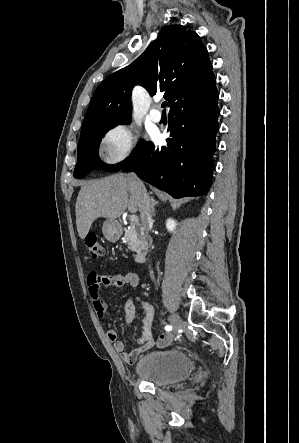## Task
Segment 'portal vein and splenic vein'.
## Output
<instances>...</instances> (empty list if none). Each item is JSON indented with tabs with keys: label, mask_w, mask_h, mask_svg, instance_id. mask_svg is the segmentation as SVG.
I'll list each match as a JSON object with an SVG mask.
<instances>
[{
	"label": "portal vein and splenic vein",
	"mask_w": 299,
	"mask_h": 443,
	"mask_svg": "<svg viewBox=\"0 0 299 443\" xmlns=\"http://www.w3.org/2000/svg\"><path fill=\"white\" fill-rule=\"evenodd\" d=\"M130 222L131 224H137L138 223V217L136 215L130 216Z\"/></svg>",
	"instance_id": "18ae733b"
}]
</instances>
